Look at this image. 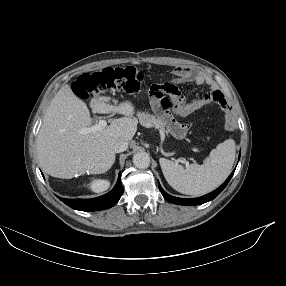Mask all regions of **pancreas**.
<instances>
[{"instance_id":"1","label":"pancreas","mask_w":286,"mask_h":286,"mask_svg":"<svg viewBox=\"0 0 286 286\" xmlns=\"http://www.w3.org/2000/svg\"><path fill=\"white\" fill-rule=\"evenodd\" d=\"M138 118L140 121V124L145 127H154L156 129H160L162 131H165L163 122L161 119L156 118L153 115H149L147 113H139Z\"/></svg>"}]
</instances>
